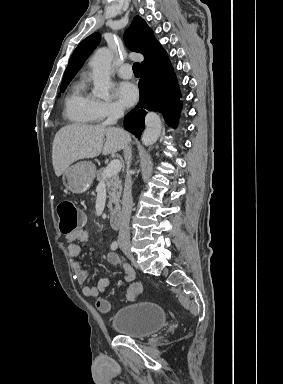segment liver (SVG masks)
<instances>
[{
  "instance_id": "obj_1",
  "label": "liver",
  "mask_w": 283,
  "mask_h": 384,
  "mask_svg": "<svg viewBox=\"0 0 283 384\" xmlns=\"http://www.w3.org/2000/svg\"><path fill=\"white\" fill-rule=\"evenodd\" d=\"M106 142L103 146V140ZM127 140L124 130L110 126H87V124H71L57 132L52 146V162L56 176H61L73 162L96 158L108 154H116L125 148Z\"/></svg>"
}]
</instances>
